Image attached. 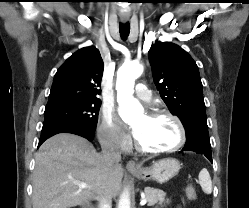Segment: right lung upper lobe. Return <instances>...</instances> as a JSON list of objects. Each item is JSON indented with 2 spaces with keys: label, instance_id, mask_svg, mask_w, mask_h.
<instances>
[{
  "label": "right lung upper lobe",
  "instance_id": "1",
  "mask_svg": "<svg viewBox=\"0 0 249 208\" xmlns=\"http://www.w3.org/2000/svg\"><path fill=\"white\" fill-rule=\"evenodd\" d=\"M104 64L97 48L72 54L55 74L46 107L68 102L99 100Z\"/></svg>",
  "mask_w": 249,
  "mask_h": 208
}]
</instances>
